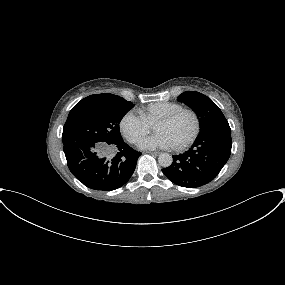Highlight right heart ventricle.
<instances>
[{"instance_id":"1","label":"right heart ventricle","mask_w":285,"mask_h":285,"mask_svg":"<svg viewBox=\"0 0 285 285\" xmlns=\"http://www.w3.org/2000/svg\"><path fill=\"white\" fill-rule=\"evenodd\" d=\"M182 108L176 102H156L140 109L139 113L150 125H154L159 118Z\"/></svg>"}]
</instances>
